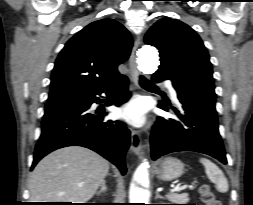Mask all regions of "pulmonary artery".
<instances>
[{
	"instance_id": "1",
	"label": "pulmonary artery",
	"mask_w": 253,
	"mask_h": 205,
	"mask_svg": "<svg viewBox=\"0 0 253 205\" xmlns=\"http://www.w3.org/2000/svg\"><path fill=\"white\" fill-rule=\"evenodd\" d=\"M165 86L168 88L171 98L173 100H177V93L172 84L170 82H166Z\"/></svg>"
}]
</instances>
